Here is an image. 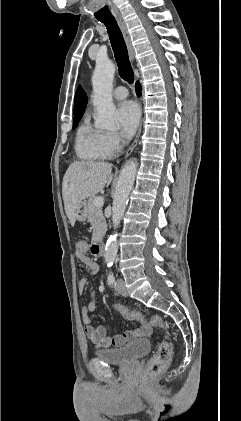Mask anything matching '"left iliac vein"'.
<instances>
[{
	"label": "left iliac vein",
	"mask_w": 241,
	"mask_h": 421,
	"mask_svg": "<svg viewBox=\"0 0 241 421\" xmlns=\"http://www.w3.org/2000/svg\"><path fill=\"white\" fill-rule=\"evenodd\" d=\"M115 289L122 296H127V294H128L127 293V290H126V287H125V282L121 278L116 281V283H115Z\"/></svg>",
	"instance_id": "left-iliac-vein-1"
}]
</instances>
